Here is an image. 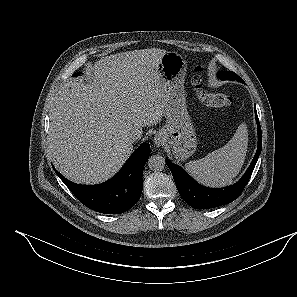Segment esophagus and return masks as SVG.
Returning a JSON list of instances; mask_svg holds the SVG:
<instances>
[{
	"mask_svg": "<svg viewBox=\"0 0 297 297\" xmlns=\"http://www.w3.org/2000/svg\"><path fill=\"white\" fill-rule=\"evenodd\" d=\"M154 143H155V145L156 146H162L163 145V143H164V139H163V137L161 136V135H159V134H156L155 136H154Z\"/></svg>",
	"mask_w": 297,
	"mask_h": 297,
	"instance_id": "34e87169",
	"label": "esophagus"
}]
</instances>
